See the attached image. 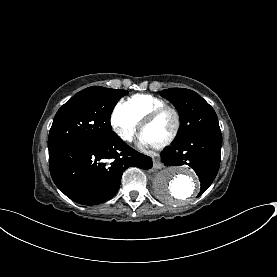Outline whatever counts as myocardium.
Wrapping results in <instances>:
<instances>
[{
	"label": "myocardium",
	"instance_id": "myocardium-1",
	"mask_svg": "<svg viewBox=\"0 0 277 277\" xmlns=\"http://www.w3.org/2000/svg\"><path fill=\"white\" fill-rule=\"evenodd\" d=\"M170 111L173 113L174 118H175V124H174V128L171 132V134L165 139L163 140L161 143H159L157 146L158 147H164L168 144H170L178 135L180 127H181V116L179 111L170 105H163L157 108H154L152 110H150L142 119L141 123H140V131H143V129L150 125L151 123H153L156 119H158L164 112Z\"/></svg>",
	"mask_w": 277,
	"mask_h": 277
}]
</instances>
